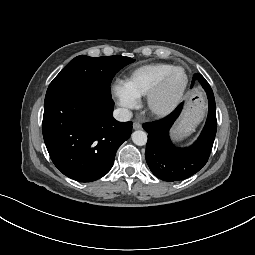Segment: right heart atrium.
<instances>
[{
  "mask_svg": "<svg viewBox=\"0 0 255 255\" xmlns=\"http://www.w3.org/2000/svg\"><path fill=\"white\" fill-rule=\"evenodd\" d=\"M112 91L121 107L132 109L138 104L139 97L130 89L127 82L117 80Z\"/></svg>",
  "mask_w": 255,
  "mask_h": 255,
  "instance_id": "d8ad5b80",
  "label": "right heart atrium"
}]
</instances>
